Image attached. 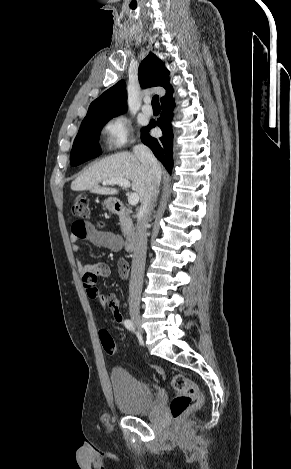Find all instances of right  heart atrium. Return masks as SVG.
<instances>
[{
	"label": "right heart atrium",
	"mask_w": 291,
	"mask_h": 469,
	"mask_svg": "<svg viewBox=\"0 0 291 469\" xmlns=\"http://www.w3.org/2000/svg\"><path fill=\"white\" fill-rule=\"evenodd\" d=\"M102 133L109 150H120L133 141L131 122L124 115H117L106 121Z\"/></svg>",
	"instance_id": "1"
}]
</instances>
